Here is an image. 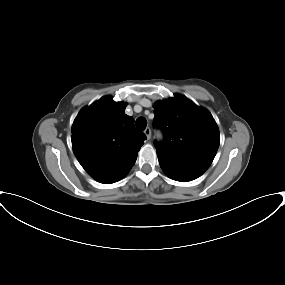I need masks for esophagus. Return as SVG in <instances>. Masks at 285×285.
<instances>
[{"mask_svg":"<svg viewBox=\"0 0 285 285\" xmlns=\"http://www.w3.org/2000/svg\"><path fill=\"white\" fill-rule=\"evenodd\" d=\"M144 133L147 137L148 140L151 139V129L149 127H147L145 130H144Z\"/></svg>","mask_w":285,"mask_h":285,"instance_id":"1","label":"esophagus"}]
</instances>
